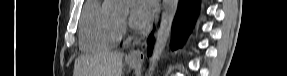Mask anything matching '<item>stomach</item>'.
<instances>
[{
    "label": "stomach",
    "instance_id": "0dacf381",
    "mask_svg": "<svg viewBox=\"0 0 287 76\" xmlns=\"http://www.w3.org/2000/svg\"><path fill=\"white\" fill-rule=\"evenodd\" d=\"M128 64H129V66H130L131 68H134V67H136V66L139 65V62L129 60V61H128Z\"/></svg>",
    "mask_w": 287,
    "mask_h": 76
}]
</instances>
